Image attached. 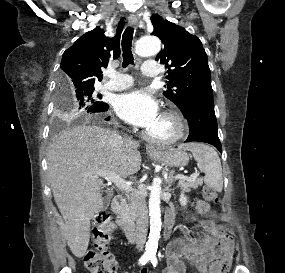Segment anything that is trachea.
I'll use <instances>...</instances> for the list:
<instances>
[{"label":"trachea","mask_w":285,"mask_h":273,"mask_svg":"<svg viewBox=\"0 0 285 273\" xmlns=\"http://www.w3.org/2000/svg\"><path fill=\"white\" fill-rule=\"evenodd\" d=\"M133 33L134 28L127 27L122 35L123 68H126L129 64H134V57L131 50Z\"/></svg>","instance_id":"trachea-1"}]
</instances>
